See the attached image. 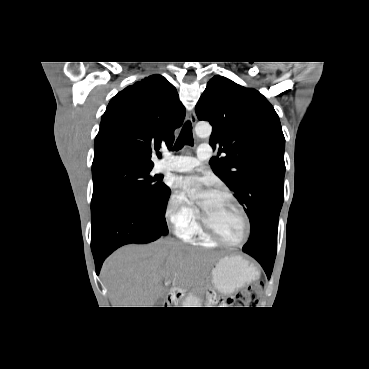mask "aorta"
I'll list each match as a JSON object with an SVG mask.
<instances>
[{
  "label": "aorta",
  "mask_w": 369,
  "mask_h": 369,
  "mask_svg": "<svg viewBox=\"0 0 369 369\" xmlns=\"http://www.w3.org/2000/svg\"><path fill=\"white\" fill-rule=\"evenodd\" d=\"M212 127L209 123H198L195 127V133L200 138H206L211 135Z\"/></svg>",
  "instance_id": "1"
}]
</instances>
